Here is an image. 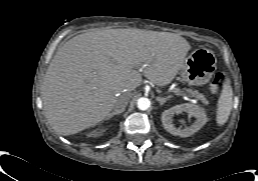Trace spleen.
Instances as JSON below:
<instances>
[{"mask_svg":"<svg viewBox=\"0 0 258 181\" xmlns=\"http://www.w3.org/2000/svg\"><path fill=\"white\" fill-rule=\"evenodd\" d=\"M233 104V91L230 80L227 78L223 83L221 95L217 102L216 122L219 126L224 125L230 115Z\"/></svg>","mask_w":258,"mask_h":181,"instance_id":"obj_1","label":"spleen"}]
</instances>
